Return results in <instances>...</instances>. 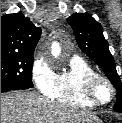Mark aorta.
I'll list each match as a JSON object with an SVG mask.
<instances>
[{
    "label": "aorta",
    "instance_id": "762f6f07",
    "mask_svg": "<svg viewBox=\"0 0 122 123\" xmlns=\"http://www.w3.org/2000/svg\"><path fill=\"white\" fill-rule=\"evenodd\" d=\"M60 54V48L58 45L54 44L52 46V55L57 57Z\"/></svg>",
    "mask_w": 122,
    "mask_h": 123
}]
</instances>
